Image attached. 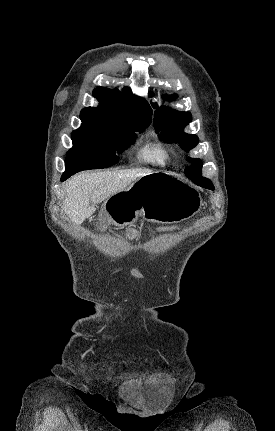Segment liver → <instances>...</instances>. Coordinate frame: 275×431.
Instances as JSON below:
<instances>
[{"mask_svg": "<svg viewBox=\"0 0 275 431\" xmlns=\"http://www.w3.org/2000/svg\"><path fill=\"white\" fill-rule=\"evenodd\" d=\"M151 173V170L131 169L77 174L66 183L63 210L75 225H80L95 212L96 204L124 191L133 181Z\"/></svg>", "mask_w": 275, "mask_h": 431, "instance_id": "1", "label": "liver"}]
</instances>
